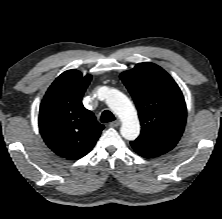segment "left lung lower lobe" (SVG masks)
<instances>
[{
    "mask_svg": "<svg viewBox=\"0 0 222 219\" xmlns=\"http://www.w3.org/2000/svg\"><path fill=\"white\" fill-rule=\"evenodd\" d=\"M130 144H131L132 148L140 156L145 157V158L157 157V156H160V155L168 152V150H166V149L148 146V145L141 144V143H138L135 141H131Z\"/></svg>",
    "mask_w": 222,
    "mask_h": 219,
    "instance_id": "0a47b994",
    "label": "left lung lower lobe"
}]
</instances>
